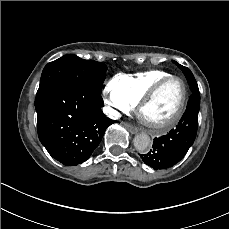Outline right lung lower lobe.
<instances>
[{"label":"right lung lower lobe","mask_w":229,"mask_h":229,"mask_svg":"<svg viewBox=\"0 0 229 229\" xmlns=\"http://www.w3.org/2000/svg\"><path fill=\"white\" fill-rule=\"evenodd\" d=\"M101 91L65 81L35 99L38 136L59 162L73 166L86 161L99 145L106 128L115 121L101 107Z\"/></svg>","instance_id":"98d812e1"}]
</instances>
